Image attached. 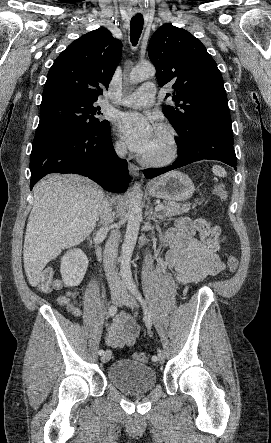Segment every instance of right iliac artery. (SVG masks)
<instances>
[{
  "label": "right iliac artery",
  "mask_w": 271,
  "mask_h": 443,
  "mask_svg": "<svg viewBox=\"0 0 271 443\" xmlns=\"http://www.w3.org/2000/svg\"><path fill=\"white\" fill-rule=\"evenodd\" d=\"M116 313H117V306L114 305L110 306L108 309L109 316L113 317ZM104 352L105 351L103 349L99 350V355H103Z\"/></svg>",
  "instance_id": "1"
}]
</instances>
